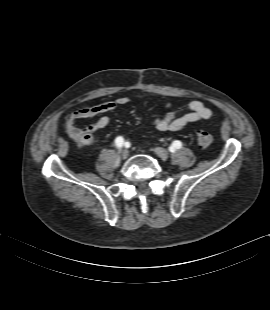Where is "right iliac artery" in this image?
Wrapping results in <instances>:
<instances>
[{
  "mask_svg": "<svg viewBox=\"0 0 270 310\" xmlns=\"http://www.w3.org/2000/svg\"><path fill=\"white\" fill-rule=\"evenodd\" d=\"M123 143H124V139L123 137L121 136H118L116 139H115V144L118 148H121L123 146ZM118 163V162H117Z\"/></svg>",
  "mask_w": 270,
  "mask_h": 310,
  "instance_id": "right-iliac-artery-1",
  "label": "right iliac artery"
}]
</instances>
